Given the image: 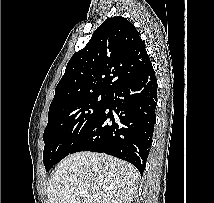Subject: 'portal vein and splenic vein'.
<instances>
[{
    "mask_svg": "<svg viewBox=\"0 0 214 203\" xmlns=\"http://www.w3.org/2000/svg\"><path fill=\"white\" fill-rule=\"evenodd\" d=\"M76 194L79 196H86L87 192L83 188H79L76 190Z\"/></svg>",
    "mask_w": 214,
    "mask_h": 203,
    "instance_id": "1",
    "label": "portal vein and splenic vein"
}]
</instances>
